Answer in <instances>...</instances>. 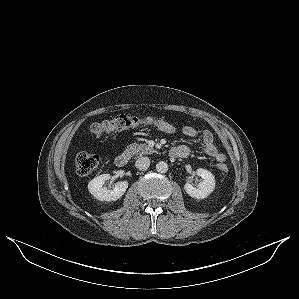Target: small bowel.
Masks as SVG:
<instances>
[{
  "mask_svg": "<svg viewBox=\"0 0 299 299\" xmlns=\"http://www.w3.org/2000/svg\"><path fill=\"white\" fill-rule=\"evenodd\" d=\"M182 132L185 136L190 138H193L197 135V130L190 125L184 126ZM201 138L206 154L214 158L219 164L223 163L226 159V156L216 147L212 133L208 130H205L202 132ZM178 147L186 148L189 153L187 146L181 145Z\"/></svg>",
  "mask_w": 299,
  "mask_h": 299,
  "instance_id": "small-bowel-1",
  "label": "small bowel"
}]
</instances>
